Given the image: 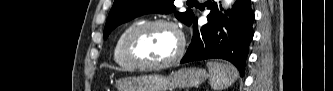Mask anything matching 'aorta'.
Masks as SVG:
<instances>
[{"instance_id":"1","label":"aorta","mask_w":333,"mask_h":91,"mask_svg":"<svg viewBox=\"0 0 333 91\" xmlns=\"http://www.w3.org/2000/svg\"><path fill=\"white\" fill-rule=\"evenodd\" d=\"M234 1L233 0H225V4L226 6H228L229 4L233 3Z\"/></svg>"}]
</instances>
